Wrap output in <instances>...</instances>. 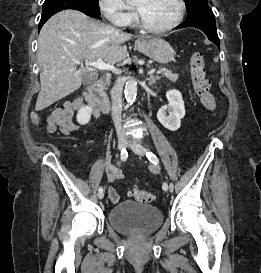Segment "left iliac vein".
<instances>
[{
	"mask_svg": "<svg viewBox=\"0 0 261 273\" xmlns=\"http://www.w3.org/2000/svg\"><path fill=\"white\" fill-rule=\"evenodd\" d=\"M127 145L131 148V150L136 153L137 155H140V156H145V148L142 147V146H138L136 145L133 141L131 140H128L127 141ZM170 190V189H169ZM164 191H167V190H164ZM171 191V190H170ZM172 192V191H171Z\"/></svg>",
	"mask_w": 261,
	"mask_h": 273,
	"instance_id": "4c4485c4",
	"label": "left iliac vein"
}]
</instances>
